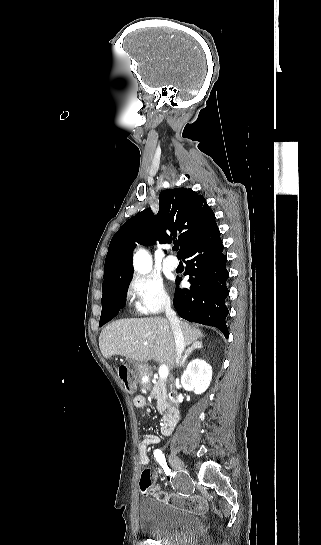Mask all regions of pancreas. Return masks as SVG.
<instances>
[{
  "mask_svg": "<svg viewBox=\"0 0 321 545\" xmlns=\"http://www.w3.org/2000/svg\"><path fill=\"white\" fill-rule=\"evenodd\" d=\"M144 375H146V377H151L152 367H149V369L145 371ZM167 387V379H158L157 383H153L151 395H154L155 399H157V409L160 415H163V411H165L166 409V403L168 399Z\"/></svg>",
  "mask_w": 321,
  "mask_h": 545,
  "instance_id": "cf45deb5",
  "label": "pancreas"
}]
</instances>
